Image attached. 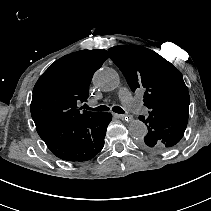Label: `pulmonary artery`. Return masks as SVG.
Listing matches in <instances>:
<instances>
[{
  "mask_svg": "<svg viewBox=\"0 0 211 211\" xmlns=\"http://www.w3.org/2000/svg\"><path fill=\"white\" fill-rule=\"evenodd\" d=\"M119 96L123 104L126 105L127 110L132 111L134 116L141 117L146 114V105L142 103L141 100L132 97L127 89H121Z\"/></svg>",
  "mask_w": 211,
  "mask_h": 211,
  "instance_id": "1",
  "label": "pulmonary artery"
}]
</instances>
